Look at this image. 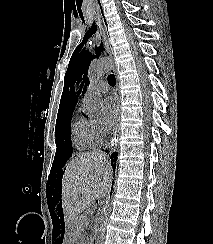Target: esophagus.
<instances>
[{
    "label": "esophagus",
    "mask_w": 213,
    "mask_h": 244,
    "mask_svg": "<svg viewBox=\"0 0 213 244\" xmlns=\"http://www.w3.org/2000/svg\"><path fill=\"white\" fill-rule=\"evenodd\" d=\"M103 41H104L106 53H108L110 56V59L113 60L112 49H111V44H110L109 38L107 39V38L103 37ZM113 71L116 75V69H114ZM114 92H115V95H116L117 100H118L119 109H118V115H117L116 124H115V128H114L113 138L111 140V146H114V144H116V137L118 136V133H119L120 97H119L118 81H117V85L115 87Z\"/></svg>",
    "instance_id": "34e87169"
}]
</instances>
